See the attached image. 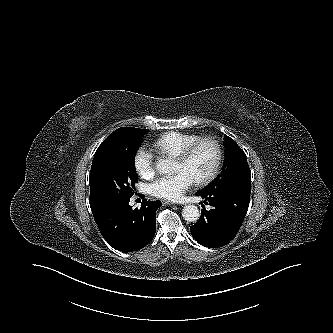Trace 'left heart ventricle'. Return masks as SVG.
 <instances>
[{
  "label": "left heart ventricle",
  "instance_id": "obj_1",
  "mask_svg": "<svg viewBox=\"0 0 333 333\" xmlns=\"http://www.w3.org/2000/svg\"><path fill=\"white\" fill-rule=\"evenodd\" d=\"M216 159V151L212 144H201L193 156L186 162H175V172L185 171L194 181L206 177L213 168Z\"/></svg>",
  "mask_w": 333,
  "mask_h": 333
}]
</instances>
